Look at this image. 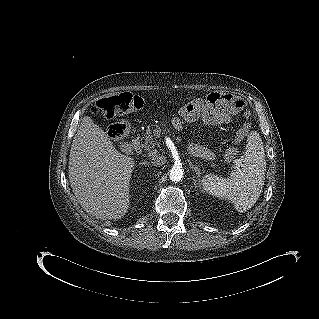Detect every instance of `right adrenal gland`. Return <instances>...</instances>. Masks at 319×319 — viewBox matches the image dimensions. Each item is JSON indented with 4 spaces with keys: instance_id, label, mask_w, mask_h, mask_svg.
Listing matches in <instances>:
<instances>
[{
    "instance_id": "2a0ac1e0",
    "label": "right adrenal gland",
    "mask_w": 319,
    "mask_h": 319,
    "mask_svg": "<svg viewBox=\"0 0 319 319\" xmlns=\"http://www.w3.org/2000/svg\"><path fill=\"white\" fill-rule=\"evenodd\" d=\"M145 164H146V165H149V163H148V162H143V163H142V165H145Z\"/></svg>"
}]
</instances>
